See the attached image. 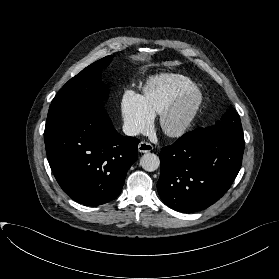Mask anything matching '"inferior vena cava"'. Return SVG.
<instances>
[{
	"instance_id": "obj_1",
	"label": "inferior vena cava",
	"mask_w": 279,
	"mask_h": 279,
	"mask_svg": "<svg viewBox=\"0 0 279 279\" xmlns=\"http://www.w3.org/2000/svg\"><path fill=\"white\" fill-rule=\"evenodd\" d=\"M123 132L127 135V136H136L139 134L140 130L139 128L134 125L133 123H129L126 122L123 125Z\"/></svg>"
}]
</instances>
